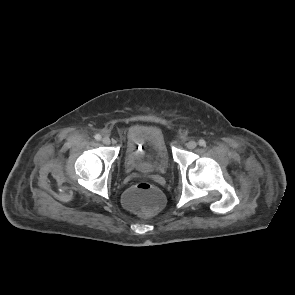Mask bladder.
<instances>
[{
    "instance_id": "bladder-1",
    "label": "bladder",
    "mask_w": 295,
    "mask_h": 295,
    "mask_svg": "<svg viewBox=\"0 0 295 295\" xmlns=\"http://www.w3.org/2000/svg\"><path fill=\"white\" fill-rule=\"evenodd\" d=\"M124 164L132 172L164 174L169 169L170 158L163 134L155 129L141 131L128 143Z\"/></svg>"
}]
</instances>
